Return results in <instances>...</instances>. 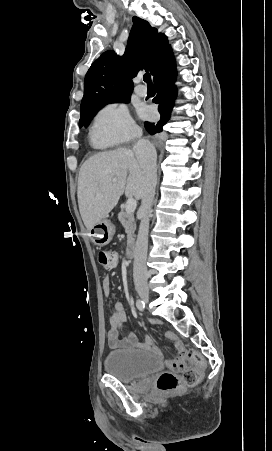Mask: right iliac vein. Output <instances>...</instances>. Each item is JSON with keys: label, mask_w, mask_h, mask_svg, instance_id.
<instances>
[{"label": "right iliac vein", "mask_w": 272, "mask_h": 451, "mask_svg": "<svg viewBox=\"0 0 272 451\" xmlns=\"http://www.w3.org/2000/svg\"><path fill=\"white\" fill-rule=\"evenodd\" d=\"M138 295L140 296V298L145 302L148 303L149 302V290L147 287H140L137 290Z\"/></svg>", "instance_id": "1"}]
</instances>
